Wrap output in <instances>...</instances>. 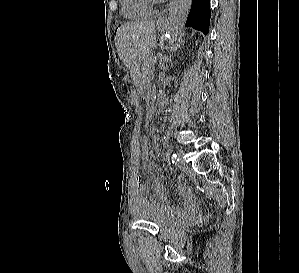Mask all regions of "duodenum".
Instances as JSON below:
<instances>
[{
    "label": "duodenum",
    "instance_id": "1",
    "mask_svg": "<svg viewBox=\"0 0 299 273\" xmlns=\"http://www.w3.org/2000/svg\"><path fill=\"white\" fill-rule=\"evenodd\" d=\"M163 104H164L163 101H159L152 109L158 110L163 107Z\"/></svg>",
    "mask_w": 299,
    "mask_h": 273
}]
</instances>
